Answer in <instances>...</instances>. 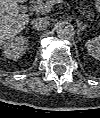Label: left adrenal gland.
Wrapping results in <instances>:
<instances>
[{
    "label": "left adrenal gland",
    "instance_id": "1",
    "mask_svg": "<svg viewBox=\"0 0 100 118\" xmlns=\"http://www.w3.org/2000/svg\"><path fill=\"white\" fill-rule=\"evenodd\" d=\"M77 27V33L80 34L84 29L88 28L89 26H87L86 24H82L81 22H78Z\"/></svg>",
    "mask_w": 100,
    "mask_h": 118
}]
</instances>
